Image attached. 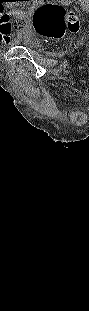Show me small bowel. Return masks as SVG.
Here are the masks:
<instances>
[{"instance_id": "c3829d8e", "label": "small bowel", "mask_w": 89, "mask_h": 311, "mask_svg": "<svg viewBox=\"0 0 89 311\" xmlns=\"http://www.w3.org/2000/svg\"><path fill=\"white\" fill-rule=\"evenodd\" d=\"M6 31L2 32L1 42L4 45L12 44L16 41V36L12 33L11 29H8L6 26Z\"/></svg>"}]
</instances>
